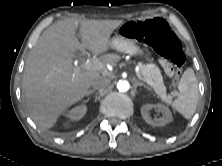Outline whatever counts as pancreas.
<instances>
[{"mask_svg": "<svg viewBox=\"0 0 222 166\" xmlns=\"http://www.w3.org/2000/svg\"><path fill=\"white\" fill-rule=\"evenodd\" d=\"M139 71L143 76V80L163 101L166 103L171 101L172 97L166 92V88L163 83V77L157 65L153 63L146 65L140 63Z\"/></svg>", "mask_w": 222, "mask_h": 166, "instance_id": "obj_1", "label": "pancreas"}]
</instances>
